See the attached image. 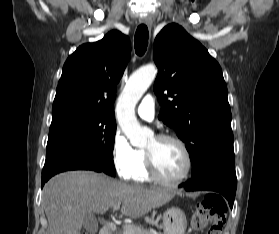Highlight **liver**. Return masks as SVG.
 Masks as SVG:
<instances>
[{"instance_id": "obj_1", "label": "liver", "mask_w": 279, "mask_h": 234, "mask_svg": "<svg viewBox=\"0 0 279 234\" xmlns=\"http://www.w3.org/2000/svg\"><path fill=\"white\" fill-rule=\"evenodd\" d=\"M173 196L165 190L129 185L92 171L61 173L43 188L46 234H80L87 214H103L118 203H122L123 215L140 218Z\"/></svg>"}]
</instances>
